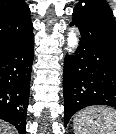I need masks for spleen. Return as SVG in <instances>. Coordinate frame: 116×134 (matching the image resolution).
<instances>
[{"label":"spleen","mask_w":116,"mask_h":134,"mask_svg":"<svg viewBox=\"0 0 116 134\" xmlns=\"http://www.w3.org/2000/svg\"><path fill=\"white\" fill-rule=\"evenodd\" d=\"M73 129L75 134H116V110L88 107L76 114Z\"/></svg>","instance_id":"1"}]
</instances>
